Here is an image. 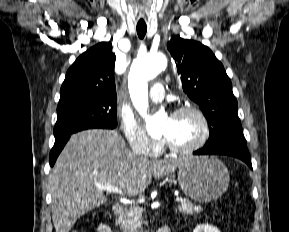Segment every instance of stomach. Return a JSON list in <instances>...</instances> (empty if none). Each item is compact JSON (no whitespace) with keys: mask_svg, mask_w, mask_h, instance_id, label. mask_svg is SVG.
<instances>
[{"mask_svg":"<svg viewBox=\"0 0 289 232\" xmlns=\"http://www.w3.org/2000/svg\"><path fill=\"white\" fill-rule=\"evenodd\" d=\"M229 181L228 169L213 156L187 157L178 167V182L184 194L201 202L218 199Z\"/></svg>","mask_w":289,"mask_h":232,"instance_id":"0dacf381","label":"stomach"}]
</instances>
